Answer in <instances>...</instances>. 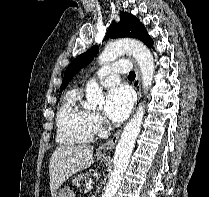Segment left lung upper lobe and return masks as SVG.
Masks as SVG:
<instances>
[{
    "instance_id": "5c2ea615",
    "label": "left lung upper lobe",
    "mask_w": 209,
    "mask_h": 197,
    "mask_svg": "<svg viewBox=\"0 0 209 197\" xmlns=\"http://www.w3.org/2000/svg\"><path fill=\"white\" fill-rule=\"evenodd\" d=\"M120 22L113 23L106 34L108 38H121L131 37L136 38L144 42L148 47L153 46V40L148 35L143 24L134 15L122 11L120 14ZM99 51L98 46H93L88 51L79 55L66 69L64 73L63 82L60 87V91L64 90L68 83L71 81L73 76L79 72L83 67L91 62L93 57Z\"/></svg>"
}]
</instances>
